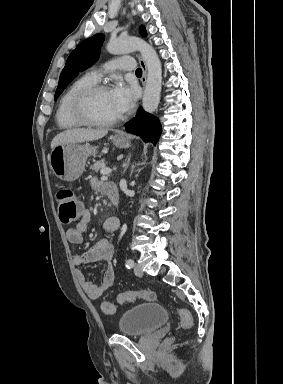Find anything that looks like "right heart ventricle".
Wrapping results in <instances>:
<instances>
[{
    "instance_id": "1",
    "label": "right heart ventricle",
    "mask_w": 283,
    "mask_h": 384,
    "mask_svg": "<svg viewBox=\"0 0 283 384\" xmlns=\"http://www.w3.org/2000/svg\"><path fill=\"white\" fill-rule=\"evenodd\" d=\"M95 83L85 75L74 81L61 95L55 112V120L61 130L68 131L79 128L70 116L71 103L81 90Z\"/></svg>"
}]
</instances>
